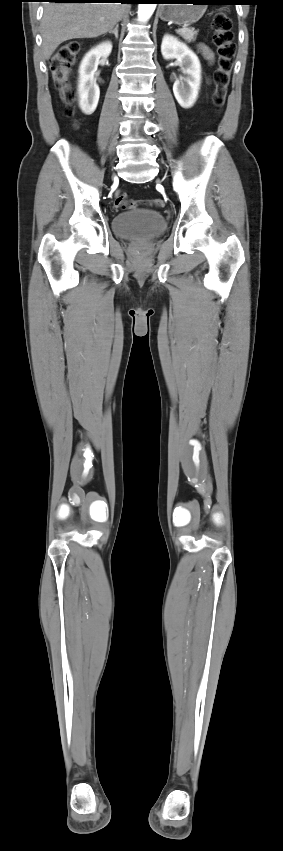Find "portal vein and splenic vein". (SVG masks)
Listing matches in <instances>:
<instances>
[{
	"mask_svg": "<svg viewBox=\"0 0 283 851\" xmlns=\"http://www.w3.org/2000/svg\"><path fill=\"white\" fill-rule=\"evenodd\" d=\"M185 29H187L186 26H183L182 28L178 29L177 31H182V30H185Z\"/></svg>",
	"mask_w": 283,
	"mask_h": 851,
	"instance_id": "portal-vein-and-splenic-vein-1",
	"label": "portal vein and splenic vein"
}]
</instances>
